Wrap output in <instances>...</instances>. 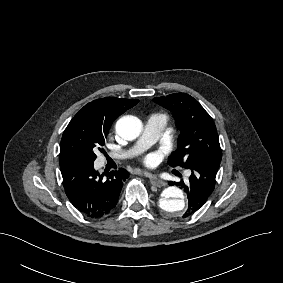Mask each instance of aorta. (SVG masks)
Segmentation results:
<instances>
[{"mask_svg":"<svg viewBox=\"0 0 283 283\" xmlns=\"http://www.w3.org/2000/svg\"><path fill=\"white\" fill-rule=\"evenodd\" d=\"M142 131V122L133 116L120 118L116 123V132L123 139L134 140ZM159 206L162 210L180 216L186 207L183 191L175 186L164 189L162 197L159 199Z\"/></svg>","mask_w":283,"mask_h":283,"instance_id":"obj_1","label":"aorta"}]
</instances>
